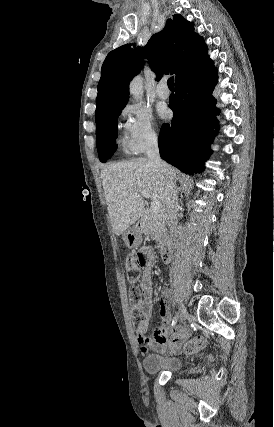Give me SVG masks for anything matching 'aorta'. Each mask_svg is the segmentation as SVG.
Here are the masks:
<instances>
[{
	"label": "aorta",
	"mask_w": 274,
	"mask_h": 427,
	"mask_svg": "<svg viewBox=\"0 0 274 427\" xmlns=\"http://www.w3.org/2000/svg\"><path fill=\"white\" fill-rule=\"evenodd\" d=\"M129 91L130 94L133 96L134 99L137 101L142 99L143 96V81L141 76L135 77L129 85Z\"/></svg>",
	"instance_id": "1"
}]
</instances>
